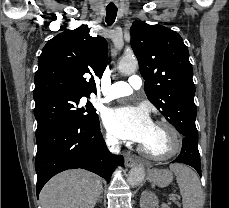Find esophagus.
Listing matches in <instances>:
<instances>
[{
  "mask_svg": "<svg viewBox=\"0 0 229 208\" xmlns=\"http://www.w3.org/2000/svg\"><path fill=\"white\" fill-rule=\"evenodd\" d=\"M137 159L130 157V156H126L125 157V164L128 168H132L137 164Z\"/></svg>",
  "mask_w": 229,
  "mask_h": 208,
  "instance_id": "34e87169",
  "label": "esophagus"
}]
</instances>
